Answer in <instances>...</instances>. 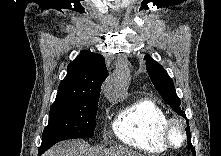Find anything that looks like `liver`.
Masks as SVG:
<instances>
[{
    "mask_svg": "<svg viewBox=\"0 0 221 156\" xmlns=\"http://www.w3.org/2000/svg\"><path fill=\"white\" fill-rule=\"evenodd\" d=\"M44 156H142V154L123 147L95 149L82 140H71L57 144Z\"/></svg>",
    "mask_w": 221,
    "mask_h": 156,
    "instance_id": "1",
    "label": "liver"
}]
</instances>
